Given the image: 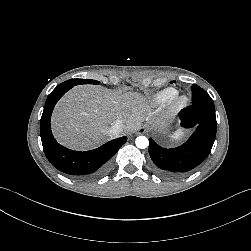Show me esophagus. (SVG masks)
Listing matches in <instances>:
<instances>
[{
    "mask_svg": "<svg viewBox=\"0 0 251 251\" xmlns=\"http://www.w3.org/2000/svg\"><path fill=\"white\" fill-rule=\"evenodd\" d=\"M137 131H138V133H145V132H146V128L143 127V126H139V127L137 128Z\"/></svg>",
    "mask_w": 251,
    "mask_h": 251,
    "instance_id": "34e87169",
    "label": "esophagus"
}]
</instances>
